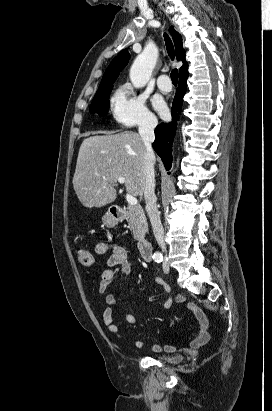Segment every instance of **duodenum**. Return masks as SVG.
<instances>
[{
  "label": "duodenum",
  "instance_id": "duodenum-1",
  "mask_svg": "<svg viewBox=\"0 0 272 411\" xmlns=\"http://www.w3.org/2000/svg\"><path fill=\"white\" fill-rule=\"evenodd\" d=\"M127 209L125 207L113 205L110 208V213L115 219H121ZM138 250L140 252L141 257L145 261H150L152 256V248L146 238H140L137 243Z\"/></svg>",
  "mask_w": 272,
  "mask_h": 411
}]
</instances>
